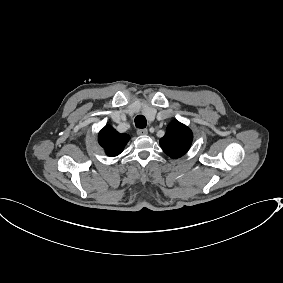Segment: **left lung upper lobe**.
<instances>
[{
	"label": "left lung upper lobe",
	"mask_w": 283,
	"mask_h": 283,
	"mask_svg": "<svg viewBox=\"0 0 283 283\" xmlns=\"http://www.w3.org/2000/svg\"><path fill=\"white\" fill-rule=\"evenodd\" d=\"M192 140V131L186 125L174 120L168 125L164 137L160 139V146L168 156L179 158L189 150Z\"/></svg>",
	"instance_id": "1"
}]
</instances>
